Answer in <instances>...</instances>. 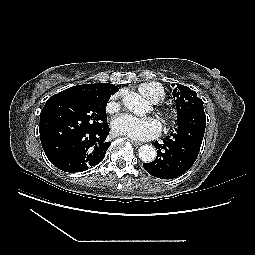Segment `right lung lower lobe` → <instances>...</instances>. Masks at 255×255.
<instances>
[{
	"instance_id": "1",
	"label": "right lung lower lobe",
	"mask_w": 255,
	"mask_h": 255,
	"mask_svg": "<svg viewBox=\"0 0 255 255\" xmlns=\"http://www.w3.org/2000/svg\"><path fill=\"white\" fill-rule=\"evenodd\" d=\"M108 134L109 126L106 124L71 138L54 154L46 151L45 153L49 161L60 170L72 173L82 172L90 166H95L104 158L110 146V142L106 140Z\"/></svg>"
}]
</instances>
